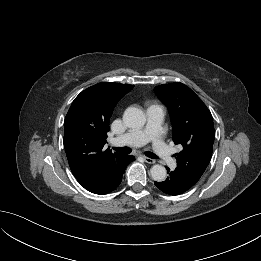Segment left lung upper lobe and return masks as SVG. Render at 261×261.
<instances>
[{
	"mask_svg": "<svg viewBox=\"0 0 261 261\" xmlns=\"http://www.w3.org/2000/svg\"><path fill=\"white\" fill-rule=\"evenodd\" d=\"M154 91L169 110L175 144L183 146V150L175 154L176 169L197 183L212 155L215 138L212 115L183 83L159 85Z\"/></svg>",
	"mask_w": 261,
	"mask_h": 261,
	"instance_id": "1",
	"label": "left lung upper lobe"
}]
</instances>
